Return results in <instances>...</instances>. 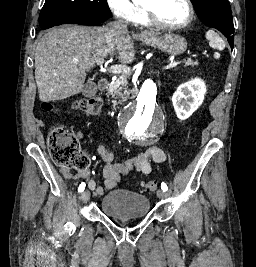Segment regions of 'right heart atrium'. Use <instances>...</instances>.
I'll return each mask as SVG.
<instances>
[{
  "instance_id": "obj_1",
  "label": "right heart atrium",
  "mask_w": 256,
  "mask_h": 267,
  "mask_svg": "<svg viewBox=\"0 0 256 267\" xmlns=\"http://www.w3.org/2000/svg\"><path fill=\"white\" fill-rule=\"evenodd\" d=\"M142 15H143V9H142V6L140 4H135L132 7V11L128 15L123 16V17H119L114 12V17L115 18L120 19V20H122L123 22H126V23H132L135 20H137L138 18H140Z\"/></svg>"
}]
</instances>
